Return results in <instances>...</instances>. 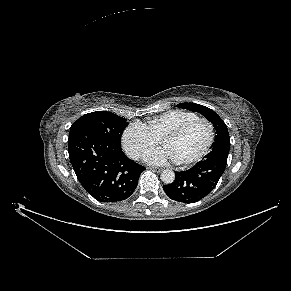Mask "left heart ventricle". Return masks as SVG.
<instances>
[{"instance_id":"left-heart-ventricle-1","label":"left heart ventricle","mask_w":291,"mask_h":291,"mask_svg":"<svg viewBox=\"0 0 291 291\" xmlns=\"http://www.w3.org/2000/svg\"><path fill=\"white\" fill-rule=\"evenodd\" d=\"M208 127L199 123L178 138L168 139L163 145L169 148L177 161H186L195 157L208 140Z\"/></svg>"}]
</instances>
